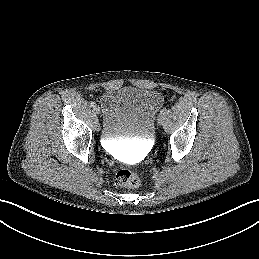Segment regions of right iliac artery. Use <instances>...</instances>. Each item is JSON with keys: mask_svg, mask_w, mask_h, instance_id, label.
Returning <instances> with one entry per match:
<instances>
[{"mask_svg": "<svg viewBox=\"0 0 259 259\" xmlns=\"http://www.w3.org/2000/svg\"><path fill=\"white\" fill-rule=\"evenodd\" d=\"M90 106H91V107H94V106H95V102L91 101V102H90Z\"/></svg>", "mask_w": 259, "mask_h": 259, "instance_id": "82829eb1", "label": "right iliac artery"}]
</instances>
